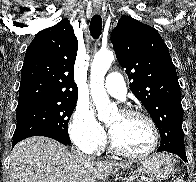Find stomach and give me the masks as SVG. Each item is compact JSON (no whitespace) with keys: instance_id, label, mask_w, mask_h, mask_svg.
<instances>
[{"instance_id":"1","label":"stomach","mask_w":196,"mask_h":182,"mask_svg":"<svg viewBox=\"0 0 196 182\" xmlns=\"http://www.w3.org/2000/svg\"><path fill=\"white\" fill-rule=\"evenodd\" d=\"M138 172L144 173L149 180L161 181L168 178L174 171V162L171 157L163 153H155L141 161Z\"/></svg>"}]
</instances>
